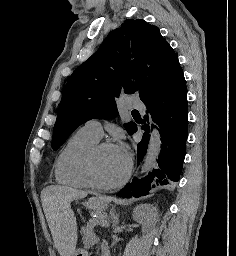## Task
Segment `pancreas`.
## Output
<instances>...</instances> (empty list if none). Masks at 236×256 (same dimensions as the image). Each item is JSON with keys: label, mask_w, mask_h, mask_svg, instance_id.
Listing matches in <instances>:
<instances>
[{"label": "pancreas", "mask_w": 236, "mask_h": 256, "mask_svg": "<svg viewBox=\"0 0 236 256\" xmlns=\"http://www.w3.org/2000/svg\"><path fill=\"white\" fill-rule=\"evenodd\" d=\"M98 222H93V224H85L82 228L81 232L83 234V238L81 242L84 243L85 248H89L93 246V243L99 242V239L95 238L94 232L92 231L93 227H98ZM107 226V224H104Z\"/></svg>", "instance_id": "cf45deb5"}]
</instances>
